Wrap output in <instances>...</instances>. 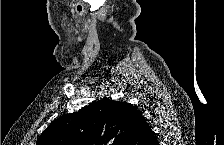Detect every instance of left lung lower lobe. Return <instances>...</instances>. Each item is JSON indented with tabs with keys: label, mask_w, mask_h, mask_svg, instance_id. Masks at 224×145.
I'll use <instances>...</instances> for the list:
<instances>
[{
	"label": "left lung lower lobe",
	"mask_w": 224,
	"mask_h": 145,
	"mask_svg": "<svg viewBox=\"0 0 224 145\" xmlns=\"http://www.w3.org/2000/svg\"><path fill=\"white\" fill-rule=\"evenodd\" d=\"M129 145H158L151 127L146 123L143 116L139 117L136 122L135 131Z\"/></svg>",
	"instance_id": "1"
}]
</instances>
